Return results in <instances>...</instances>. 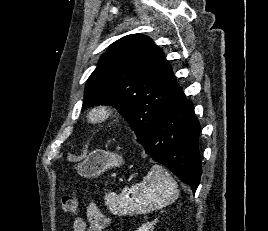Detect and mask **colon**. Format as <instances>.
Segmentation results:
<instances>
[{
	"label": "colon",
	"mask_w": 268,
	"mask_h": 231,
	"mask_svg": "<svg viewBox=\"0 0 268 231\" xmlns=\"http://www.w3.org/2000/svg\"><path fill=\"white\" fill-rule=\"evenodd\" d=\"M62 210L67 214H74L78 210L77 199L71 195H64L61 198Z\"/></svg>",
	"instance_id": "1"
}]
</instances>
